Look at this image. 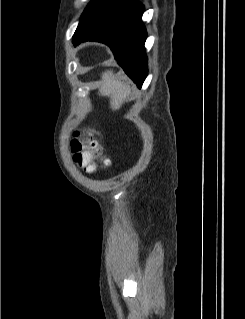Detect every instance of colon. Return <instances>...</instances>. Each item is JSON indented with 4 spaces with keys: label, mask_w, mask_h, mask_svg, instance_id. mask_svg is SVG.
<instances>
[{
    "label": "colon",
    "mask_w": 245,
    "mask_h": 319,
    "mask_svg": "<svg viewBox=\"0 0 245 319\" xmlns=\"http://www.w3.org/2000/svg\"><path fill=\"white\" fill-rule=\"evenodd\" d=\"M71 149L74 161L88 172L97 168L98 160L106 163L101 146L86 131L77 130L74 132Z\"/></svg>",
    "instance_id": "5ec220e1"
}]
</instances>
